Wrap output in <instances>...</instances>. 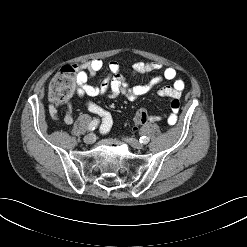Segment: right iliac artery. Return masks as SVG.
I'll list each match as a JSON object with an SVG mask.
<instances>
[{
    "mask_svg": "<svg viewBox=\"0 0 247 247\" xmlns=\"http://www.w3.org/2000/svg\"><path fill=\"white\" fill-rule=\"evenodd\" d=\"M99 124V119H94L88 126V131H93Z\"/></svg>",
    "mask_w": 247,
    "mask_h": 247,
    "instance_id": "1",
    "label": "right iliac artery"
}]
</instances>
